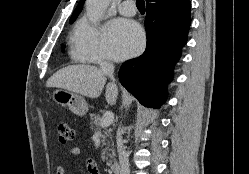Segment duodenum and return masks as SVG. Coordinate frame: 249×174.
<instances>
[{"mask_svg": "<svg viewBox=\"0 0 249 174\" xmlns=\"http://www.w3.org/2000/svg\"><path fill=\"white\" fill-rule=\"evenodd\" d=\"M111 170L113 174H120L121 168L118 163L111 164Z\"/></svg>", "mask_w": 249, "mask_h": 174, "instance_id": "duodenum-1", "label": "duodenum"}]
</instances>
